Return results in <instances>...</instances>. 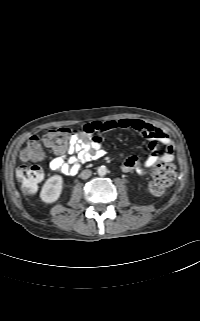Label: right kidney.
<instances>
[{
	"instance_id": "ca27d5eb",
	"label": "right kidney",
	"mask_w": 200,
	"mask_h": 321,
	"mask_svg": "<svg viewBox=\"0 0 200 321\" xmlns=\"http://www.w3.org/2000/svg\"><path fill=\"white\" fill-rule=\"evenodd\" d=\"M63 179L60 175L51 176L42 187L40 197L45 203L57 201L61 195Z\"/></svg>"
}]
</instances>
